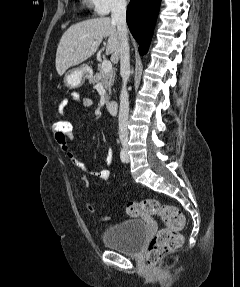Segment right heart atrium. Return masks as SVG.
Listing matches in <instances>:
<instances>
[{"label": "right heart atrium", "instance_id": "right-heart-atrium-1", "mask_svg": "<svg viewBox=\"0 0 240 287\" xmlns=\"http://www.w3.org/2000/svg\"><path fill=\"white\" fill-rule=\"evenodd\" d=\"M90 5L95 15L106 16L114 10L123 8L126 0H90Z\"/></svg>", "mask_w": 240, "mask_h": 287}]
</instances>
